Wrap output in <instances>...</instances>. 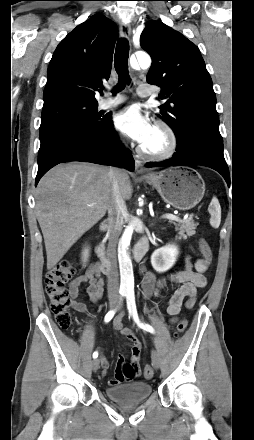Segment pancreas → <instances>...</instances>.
<instances>
[{
  "label": "pancreas",
  "instance_id": "pancreas-1",
  "mask_svg": "<svg viewBox=\"0 0 254 440\" xmlns=\"http://www.w3.org/2000/svg\"><path fill=\"white\" fill-rule=\"evenodd\" d=\"M175 225L176 231H178V238L186 239L188 236H192L195 234V229L198 226V223L194 221H183V222H171Z\"/></svg>",
  "mask_w": 254,
  "mask_h": 440
}]
</instances>
